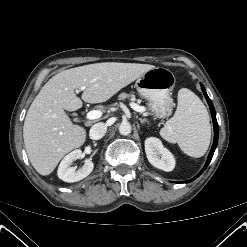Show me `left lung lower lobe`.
<instances>
[{
	"label": "left lung lower lobe",
	"instance_id": "1",
	"mask_svg": "<svg viewBox=\"0 0 247 247\" xmlns=\"http://www.w3.org/2000/svg\"><path fill=\"white\" fill-rule=\"evenodd\" d=\"M201 88H202V91H203V93H204V95L206 97V100H207L208 104H209L211 115H212V119H213V125H214V141H213V145H212L211 151H210V153L208 155V159H207L206 164L204 165L203 169L193 179L188 180V181H184V183L191 182V181L195 180L197 177H199L203 173V171L209 165V163H210V161H211V159L213 157L214 151L216 149L217 143H218V123H217V120H216L215 109H214V106H213L210 98L208 97V95H207V93L205 91V88L202 85H201Z\"/></svg>",
	"mask_w": 247,
	"mask_h": 247
}]
</instances>
